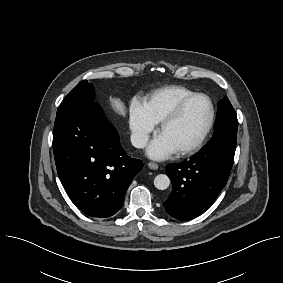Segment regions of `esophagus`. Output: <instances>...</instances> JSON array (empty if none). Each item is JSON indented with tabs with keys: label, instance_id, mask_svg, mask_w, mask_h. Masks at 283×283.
Masks as SVG:
<instances>
[{
	"label": "esophagus",
	"instance_id": "obj_1",
	"mask_svg": "<svg viewBox=\"0 0 283 283\" xmlns=\"http://www.w3.org/2000/svg\"><path fill=\"white\" fill-rule=\"evenodd\" d=\"M148 167L151 168L152 170H157L158 169V165L154 162H149L148 163Z\"/></svg>",
	"mask_w": 283,
	"mask_h": 283
}]
</instances>
